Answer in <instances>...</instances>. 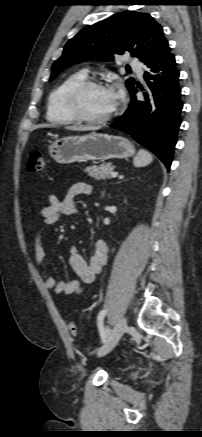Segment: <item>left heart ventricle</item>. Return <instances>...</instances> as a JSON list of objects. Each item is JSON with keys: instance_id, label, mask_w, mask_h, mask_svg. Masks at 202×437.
I'll return each mask as SVG.
<instances>
[{"instance_id": "obj_1", "label": "left heart ventricle", "mask_w": 202, "mask_h": 437, "mask_svg": "<svg viewBox=\"0 0 202 437\" xmlns=\"http://www.w3.org/2000/svg\"><path fill=\"white\" fill-rule=\"evenodd\" d=\"M118 98L109 88H92L86 91L81 100L83 112L91 117H104L116 106Z\"/></svg>"}]
</instances>
